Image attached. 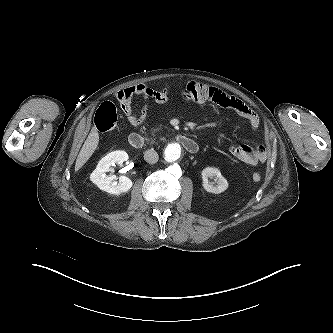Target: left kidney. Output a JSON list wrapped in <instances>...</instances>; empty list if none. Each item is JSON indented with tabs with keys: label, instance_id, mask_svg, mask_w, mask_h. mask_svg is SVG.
I'll use <instances>...</instances> for the list:
<instances>
[{
	"label": "left kidney",
	"instance_id": "1",
	"mask_svg": "<svg viewBox=\"0 0 333 333\" xmlns=\"http://www.w3.org/2000/svg\"><path fill=\"white\" fill-rule=\"evenodd\" d=\"M201 175L203 180L202 186L209 193L219 194L228 188L227 180L222 176L220 170L215 167H206L203 169ZM208 178H214L217 185L209 182Z\"/></svg>",
	"mask_w": 333,
	"mask_h": 333
}]
</instances>
